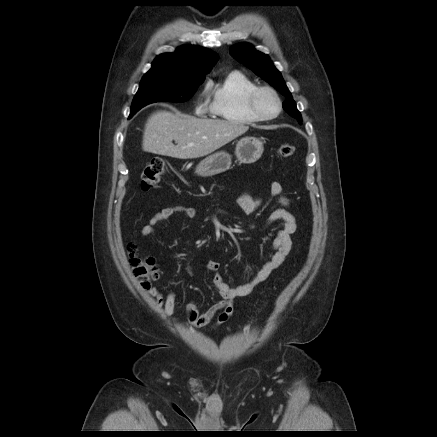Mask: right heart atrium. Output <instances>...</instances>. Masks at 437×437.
Instances as JSON below:
<instances>
[{
  "mask_svg": "<svg viewBox=\"0 0 437 437\" xmlns=\"http://www.w3.org/2000/svg\"><path fill=\"white\" fill-rule=\"evenodd\" d=\"M197 111L200 113L205 112V104L202 102V100L198 101Z\"/></svg>",
  "mask_w": 437,
  "mask_h": 437,
  "instance_id": "right-heart-atrium-1",
  "label": "right heart atrium"
}]
</instances>
